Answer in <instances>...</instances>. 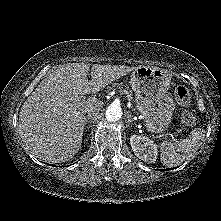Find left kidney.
<instances>
[{
  "mask_svg": "<svg viewBox=\"0 0 221 221\" xmlns=\"http://www.w3.org/2000/svg\"><path fill=\"white\" fill-rule=\"evenodd\" d=\"M130 144L134 154L141 160L154 163L158 156V148L154 141L144 136L132 135Z\"/></svg>",
  "mask_w": 221,
  "mask_h": 221,
  "instance_id": "5707ae66",
  "label": "left kidney"
}]
</instances>
